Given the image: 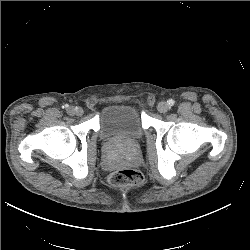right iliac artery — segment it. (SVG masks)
Segmentation results:
<instances>
[{"mask_svg": "<svg viewBox=\"0 0 250 250\" xmlns=\"http://www.w3.org/2000/svg\"><path fill=\"white\" fill-rule=\"evenodd\" d=\"M68 107V105H65V108H67Z\"/></svg>", "mask_w": 250, "mask_h": 250, "instance_id": "obj_1", "label": "right iliac artery"}]
</instances>
